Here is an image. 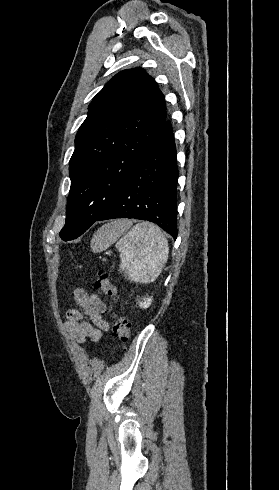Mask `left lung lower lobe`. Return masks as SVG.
<instances>
[{
  "instance_id": "obj_1",
  "label": "left lung lower lobe",
  "mask_w": 279,
  "mask_h": 490,
  "mask_svg": "<svg viewBox=\"0 0 279 490\" xmlns=\"http://www.w3.org/2000/svg\"><path fill=\"white\" fill-rule=\"evenodd\" d=\"M177 179L174 136L167 120L144 147L110 207L97 221L114 218L147 220L176 240Z\"/></svg>"
}]
</instances>
